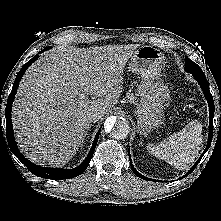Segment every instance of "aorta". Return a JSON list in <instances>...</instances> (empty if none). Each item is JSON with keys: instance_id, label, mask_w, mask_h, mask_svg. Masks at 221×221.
<instances>
[{"instance_id": "1", "label": "aorta", "mask_w": 221, "mask_h": 221, "mask_svg": "<svg viewBox=\"0 0 221 221\" xmlns=\"http://www.w3.org/2000/svg\"><path fill=\"white\" fill-rule=\"evenodd\" d=\"M105 132L114 139H124L130 132L129 121L122 116L108 117L104 123Z\"/></svg>"}]
</instances>
